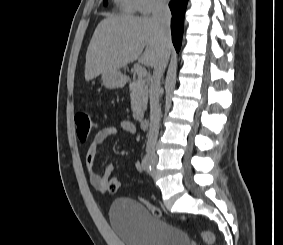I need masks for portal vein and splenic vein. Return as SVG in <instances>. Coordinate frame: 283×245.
I'll use <instances>...</instances> for the list:
<instances>
[{
    "instance_id": "18ae733b",
    "label": "portal vein and splenic vein",
    "mask_w": 283,
    "mask_h": 245,
    "mask_svg": "<svg viewBox=\"0 0 283 245\" xmlns=\"http://www.w3.org/2000/svg\"><path fill=\"white\" fill-rule=\"evenodd\" d=\"M137 74H138V77L142 78V77H145L147 75V70L145 67H142V66H139L137 68Z\"/></svg>"
}]
</instances>
